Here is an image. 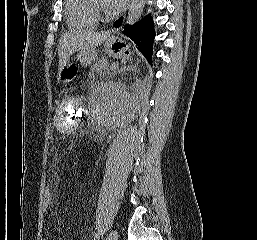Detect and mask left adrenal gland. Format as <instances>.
Returning <instances> with one entry per match:
<instances>
[{
	"label": "left adrenal gland",
	"instance_id": "obj_1",
	"mask_svg": "<svg viewBox=\"0 0 257 240\" xmlns=\"http://www.w3.org/2000/svg\"><path fill=\"white\" fill-rule=\"evenodd\" d=\"M135 68H136V66H126V65H124L116 73H125V72L129 71L130 69H135Z\"/></svg>",
	"mask_w": 257,
	"mask_h": 240
}]
</instances>
